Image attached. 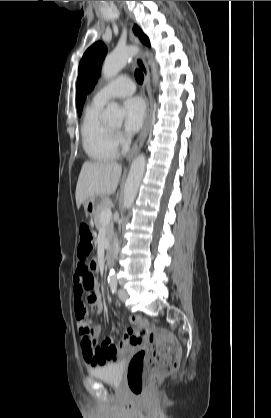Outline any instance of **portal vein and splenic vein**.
I'll use <instances>...</instances> for the list:
<instances>
[{"label":"portal vein and splenic vein","mask_w":271,"mask_h":418,"mask_svg":"<svg viewBox=\"0 0 271 418\" xmlns=\"http://www.w3.org/2000/svg\"><path fill=\"white\" fill-rule=\"evenodd\" d=\"M111 216H112V211H111V208L109 206L102 211L101 216H100V220H101L102 223H107V222L110 221Z\"/></svg>","instance_id":"obj_1"}]
</instances>
